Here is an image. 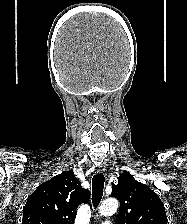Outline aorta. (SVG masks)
Segmentation results:
<instances>
[{
  "label": "aorta",
  "mask_w": 187,
  "mask_h": 224,
  "mask_svg": "<svg viewBox=\"0 0 187 224\" xmlns=\"http://www.w3.org/2000/svg\"><path fill=\"white\" fill-rule=\"evenodd\" d=\"M118 209V201L116 199H108L99 207V213L103 216H111Z\"/></svg>",
  "instance_id": "aorta-1"
}]
</instances>
